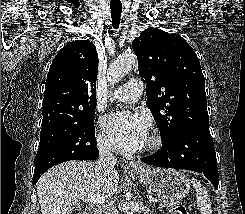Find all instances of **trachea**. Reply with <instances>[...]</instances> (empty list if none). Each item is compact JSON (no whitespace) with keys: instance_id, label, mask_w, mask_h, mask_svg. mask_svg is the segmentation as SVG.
I'll return each mask as SVG.
<instances>
[{"instance_id":"1","label":"trachea","mask_w":245,"mask_h":214,"mask_svg":"<svg viewBox=\"0 0 245 214\" xmlns=\"http://www.w3.org/2000/svg\"><path fill=\"white\" fill-rule=\"evenodd\" d=\"M111 17L114 29L119 28L122 4H110Z\"/></svg>"}]
</instances>
